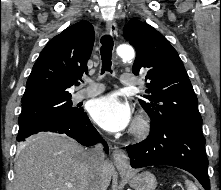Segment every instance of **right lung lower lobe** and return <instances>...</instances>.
<instances>
[{
	"instance_id": "98d812e1",
	"label": "right lung lower lobe",
	"mask_w": 221,
	"mask_h": 190,
	"mask_svg": "<svg viewBox=\"0 0 221 190\" xmlns=\"http://www.w3.org/2000/svg\"><path fill=\"white\" fill-rule=\"evenodd\" d=\"M39 132H56L60 134H66L84 146H90L96 144L97 142H102L105 147L104 150L106 153H108V146L106 142L101 138L97 130L91 124L83 109L79 116H77L72 121L50 122L19 133L17 135V141H25L27 137Z\"/></svg>"
}]
</instances>
